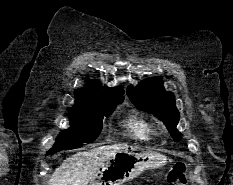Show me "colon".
I'll list each match as a JSON object with an SVG mask.
<instances>
[{
	"label": "colon",
	"mask_w": 233,
	"mask_h": 185,
	"mask_svg": "<svg viewBox=\"0 0 233 185\" xmlns=\"http://www.w3.org/2000/svg\"><path fill=\"white\" fill-rule=\"evenodd\" d=\"M187 166L183 162L175 163L168 172V185H186L187 183Z\"/></svg>",
	"instance_id": "1"
}]
</instances>
